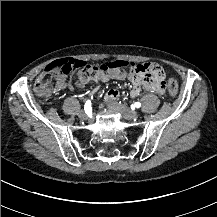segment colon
Returning <instances> with one entry per match:
<instances>
[{"instance_id": "colon-1", "label": "colon", "mask_w": 217, "mask_h": 217, "mask_svg": "<svg viewBox=\"0 0 217 217\" xmlns=\"http://www.w3.org/2000/svg\"><path fill=\"white\" fill-rule=\"evenodd\" d=\"M94 72L99 71H118L130 69L131 74L138 82L157 84L165 75L162 65L158 63L134 64L126 60H119L116 56H110L106 61L94 59L91 63L78 61L73 57H66L46 66L44 77L35 83V92L39 96H50L56 86L55 79L63 75H68L73 71L79 70L86 75L90 74L89 69ZM167 92L171 97L178 94V84L175 79H171L167 86Z\"/></svg>"}]
</instances>
